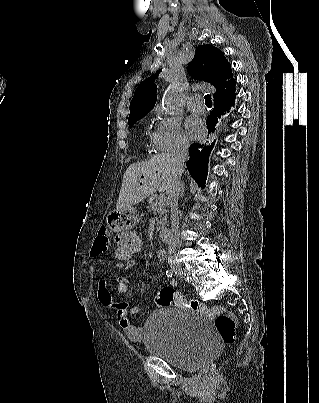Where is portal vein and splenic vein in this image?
Listing matches in <instances>:
<instances>
[{
    "label": "portal vein and splenic vein",
    "instance_id": "1",
    "mask_svg": "<svg viewBox=\"0 0 319 403\" xmlns=\"http://www.w3.org/2000/svg\"><path fill=\"white\" fill-rule=\"evenodd\" d=\"M160 192H161V191H160ZM162 192H163V191H162ZM161 197H162V198L164 197V194H163V193L161 194ZM160 201H163V200H160Z\"/></svg>",
    "mask_w": 319,
    "mask_h": 403
}]
</instances>
